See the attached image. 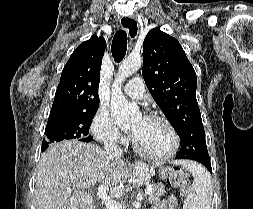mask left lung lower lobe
<instances>
[{
	"instance_id": "0a47b994",
	"label": "left lung lower lobe",
	"mask_w": 253,
	"mask_h": 209,
	"mask_svg": "<svg viewBox=\"0 0 253 209\" xmlns=\"http://www.w3.org/2000/svg\"><path fill=\"white\" fill-rule=\"evenodd\" d=\"M176 159H178V158H176ZM191 160H196V161L200 162L201 164H203L212 173V168H211V164H210V159L209 158H199V159H191Z\"/></svg>"
}]
</instances>
